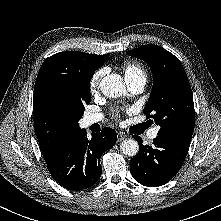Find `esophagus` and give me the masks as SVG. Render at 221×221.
<instances>
[{
    "label": "esophagus",
    "instance_id": "obj_1",
    "mask_svg": "<svg viewBox=\"0 0 221 221\" xmlns=\"http://www.w3.org/2000/svg\"><path fill=\"white\" fill-rule=\"evenodd\" d=\"M125 138H126L125 133H123V132H118V133H117V141H118V142L124 140Z\"/></svg>",
    "mask_w": 221,
    "mask_h": 221
}]
</instances>
